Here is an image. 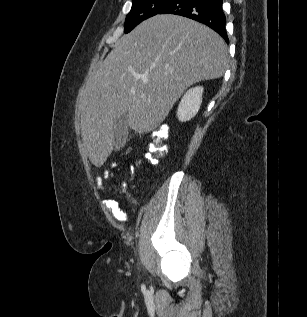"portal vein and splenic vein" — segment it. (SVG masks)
Listing matches in <instances>:
<instances>
[{
  "label": "portal vein and splenic vein",
  "instance_id": "portal-vein-and-splenic-vein-1",
  "mask_svg": "<svg viewBox=\"0 0 307 317\" xmlns=\"http://www.w3.org/2000/svg\"><path fill=\"white\" fill-rule=\"evenodd\" d=\"M144 83L147 85L148 83H147V81H144Z\"/></svg>",
  "mask_w": 307,
  "mask_h": 317
}]
</instances>
